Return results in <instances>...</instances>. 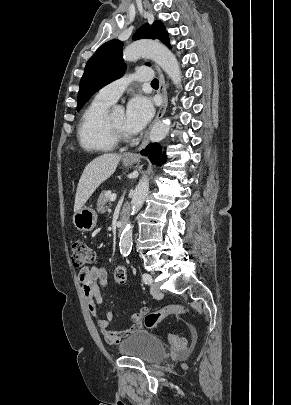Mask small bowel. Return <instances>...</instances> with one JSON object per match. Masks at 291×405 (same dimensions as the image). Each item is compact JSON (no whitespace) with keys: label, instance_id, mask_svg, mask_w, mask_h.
<instances>
[{"label":"small bowel","instance_id":"1","mask_svg":"<svg viewBox=\"0 0 291 405\" xmlns=\"http://www.w3.org/2000/svg\"><path fill=\"white\" fill-rule=\"evenodd\" d=\"M78 277L88 309L108 344H117L142 327L143 317L148 313V308L146 307L141 308L133 314V325L129 328L121 331H111L109 329L110 323L114 318L113 313L108 311L105 316H102L99 311V306L103 302L102 289L107 285L108 279L107 271L103 267L92 266L83 268Z\"/></svg>","mask_w":291,"mask_h":405}]
</instances>
